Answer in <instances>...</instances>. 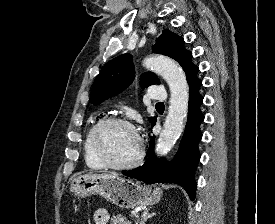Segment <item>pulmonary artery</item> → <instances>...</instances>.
<instances>
[{"instance_id": "1", "label": "pulmonary artery", "mask_w": 275, "mask_h": 224, "mask_svg": "<svg viewBox=\"0 0 275 224\" xmlns=\"http://www.w3.org/2000/svg\"><path fill=\"white\" fill-rule=\"evenodd\" d=\"M148 94L153 101H165L167 99V93L162 87L154 86L149 88Z\"/></svg>"}]
</instances>
